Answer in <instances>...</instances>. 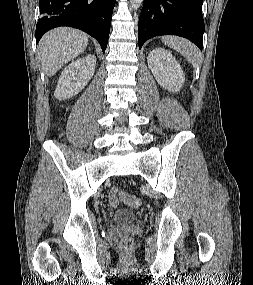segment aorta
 I'll use <instances>...</instances> for the list:
<instances>
[{"label": "aorta", "instance_id": "1", "mask_svg": "<svg viewBox=\"0 0 253 285\" xmlns=\"http://www.w3.org/2000/svg\"><path fill=\"white\" fill-rule=\"evenodd\" d=\"M142 3L143 0H130V5L132 9H138Z\"/></svg>", "mask_w": 253, "mask_h": 285}]
</instances>
